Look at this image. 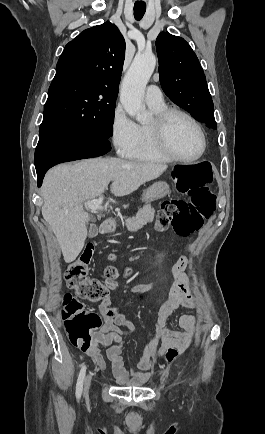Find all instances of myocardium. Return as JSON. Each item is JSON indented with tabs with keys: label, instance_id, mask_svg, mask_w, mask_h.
<instances>
[{
	"label": "myocardium",
	"instance_id": "f54148a6",
	"mask_svg": "<svg viewBox=\"0 0 265 434\" xmlns=\"http://www.w3.org/2000/svg\"><path fill=\"white\" fill-rule=\"evenodd\" d=\"M175 116H181L187 119L188 121H190L193 124V126L196 128L197 132L199 133L202 146L200 152L195 157L192 158L180 157L171 146V143L169 141L170 124L172 119ZM154 127L156 130L157 142L159 148L172 161L184 163V164H192L198 162L205 155L208 146L206 134L199 121L188 112L175 107H167L156 117L154 122Z\"/></svg>",
	"mask_w": 265,
	"mask_h": 434
}]
</instances>
